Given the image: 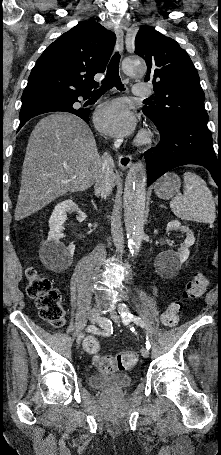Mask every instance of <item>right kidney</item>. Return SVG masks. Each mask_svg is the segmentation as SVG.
I'll return each instance as SVG.
<instances>
[{
	"mask_svg": "<svg viewBox=\"0 0 221 455\" xmlns=\"http://www.w3.org/2000/svg\"><path fill=\"white\" fill-rule=\"evenodd\" d=\"M73 212L77 213L79 222L86 219V214L70 199L57 204L49 219L50 231L47 240L42 244L39 255L43 264L51 270H64L72 262L75 245L70 244L66 247L60 242V239L63 237V223L67 214Z\"/></svg>",
	"mask_w": 221,
	"mask_h": 455,
	"instance_id": "right-kidney-1",
	"label": "right kidney"
}]
</instances>
